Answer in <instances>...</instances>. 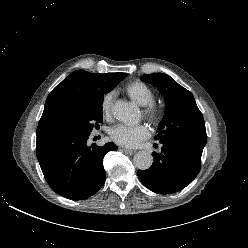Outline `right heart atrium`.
<instances>
[{
    "instance_id": "1",
    "label": "right heart atrium",
    "mask_w": 248,
    "mask_h": 248,
    "mask_svg": "<svg viewBox=\"0 0 248 248\" xmlns=\"http://www.w3.org/2000/svg\"><path fill=\"white\" fill-rule=\"evenodd\" d=\"M113 93H107L103 96L100 103V110L103 118L110 121L112 118Z\"/></svg>"
}]
</instances>
